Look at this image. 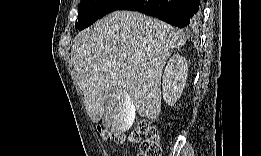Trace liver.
<instances>
[{"instance_id": "obj_1", "label": "liver", "mask_w": 261, "mask_h": 156, "mask_svg": "<svg viewBox=\"0 0 261 156\" xmlns=\"http://www.w3.org/2000/svg\"><path fill=\"white\" fill-rule=\"evenodd\" d=\"M182 30L139 12L116 11L78 34L71 62L94 123L107 100L122 101L131 112L112 131L128 130L135 111L152 121L161 113V75L168 57L186 43Z\"/></svg>"}]
</instances>
